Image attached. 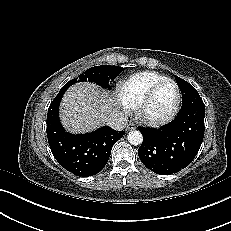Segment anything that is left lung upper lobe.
<instances>
[{"label": "left lung upper lobe", "mask_w": 231, "mask_h": 231, "mask_svg": "<svg viewBox=\"0 0 231 231\" xmlns=\"http://www.w3.org/2000/svg\"><path fill=\"white\" fill-rule=\"evenodd\" d=\"M176 82L182 92V107L188 108L193 104H204L197 90L187 81L175 76Z\"/></svg>", "instance_id": "obj_1"}]
</instances>
